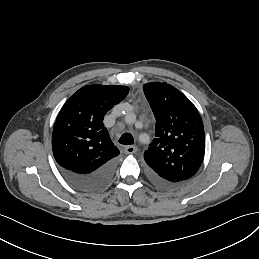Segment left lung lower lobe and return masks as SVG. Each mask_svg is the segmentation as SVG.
Segmentation results:
<instances>
[{
  "label": "left lung lower lobe",
  "mask_w": 259,
  "mask_h": 259,
  "mask_svg": "<svg viewBox=\"0 0 259 259\" xmlns=\"http://www.w3.org/2000/svg\"><path fill=\"white\" fill-rule=\"evenodd\" d=\"M149 176L154 183H156L157 185L163 188L173 189V188L180 187L181 185L184 184V183H170V182L159 181L155 179L152 175H150V173H149Z\"/></svg>",
  "instance_id": "0a47b994"
}]
</instances>
